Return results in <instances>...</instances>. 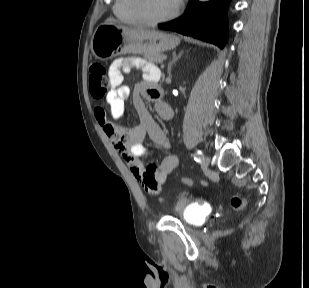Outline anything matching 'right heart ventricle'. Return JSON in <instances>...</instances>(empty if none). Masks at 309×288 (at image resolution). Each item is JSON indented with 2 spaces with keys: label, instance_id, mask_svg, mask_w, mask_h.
<instances>
[{
  "label": "right heart ventricle",
  "instance_id": "1",
  "mask_svg": "<svg viewBox=\"0 0 309 288\" xmlns=\"http://www.w3.org/2000/svg\"><path fill=\"white\" fill-rule=\"evenodd\" d=\"M132 3V0H115L114 14L123 23L140 24L142 21L135 14Z\"/></svg>",
  "mask_w": 309,
  "mask_h": 288
}]
</instances>
